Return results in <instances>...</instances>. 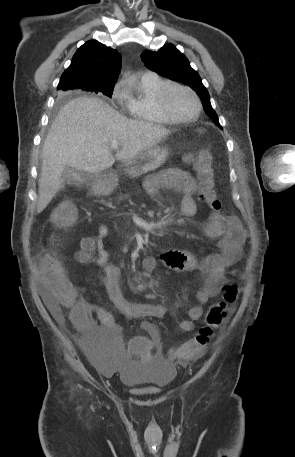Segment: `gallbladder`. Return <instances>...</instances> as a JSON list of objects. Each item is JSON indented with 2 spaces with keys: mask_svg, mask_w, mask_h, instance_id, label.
<instances>
[{
  "mask_svg": "<svg viewBox=\"0 0 295 457\" xmlns=\"http://www.w3.org/2000/svg\"><path fill=\"white\" fill-rule=\"evenodd\" d=\"M62 179L64 182L71 184V185L79 183L76 172L74 171V169H72L70 167H66L64 169V171L62 173Z\"/></svg>",
  "mask_w": 295,
  "mask_h": 457,
  "instance_id": "obj_1",
  "label": "gallbladder"
}]
</instances>
